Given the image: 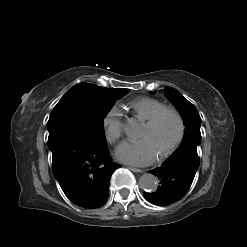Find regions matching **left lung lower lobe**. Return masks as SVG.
<instances>
[{"mask_svg": "<svg viewBox=\"0 0 247 247\" xmlns=\"http://www.w3.org/2000/svg\"><path fill=\"white\" fill-rule=\"evenodd\" d=\"M199 167L197 146L181 145L159 168L150 172L159 177L156 192H144L145 199L158 206H167L180 200L189 190Z\"/></svg>", "mask_w": 247, "mask_h": 247, "instance_id": "0a47b994", "label": "left lung lower lobe"}]
</instances>
